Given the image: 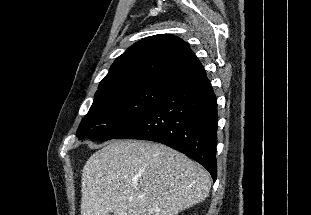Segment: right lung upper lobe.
I'll return each mask as SVG.
<instances>
[{"label": "right lung upper lobe", "instance_id": "right-lung-upper-lobe-1", "mask_svg": "<svg viewBox=\"0 0 311 215\" xmlns=\"http://www.w3.org/2000/svg\"><path fill=\"white\" fill-rule=\"evenodd\" d=\"M203 67L189 44L171 34H158L130 46L112 64L98 91L139 83L171 84Z\"/></svg>", "mask_w": 311, "mask_h": 215}]
</instances>
